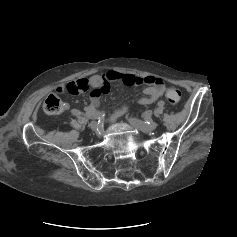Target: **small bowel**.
<instances>
[{
  "label": "small bowel",
  "instance_id": "obj_1",
  "mask_svg": "<svg viewBox=\"0 0 237 237\" xmlns=\"http://www.w3.org/2000/svg\"><path fill=\"white\" fill-rule=\"evenodd\" d=\"M119 81L128 86L145 84V96L139 98L138 103L147 105L157 101L164 93V81L155 76H135L133 74L120 73L117 71H107L101 75H93L89 78H80L67 84L57 87L59 93L80 94L88 92L90 95V104L86 108V113L93 115L100 106V98L107 95L111 90V82ZM64 109L69 108L68 103H64ZM128 107L124 106L117 109L110 118L112 123L124 115L128 111Z\"/></svg>",
  "mask_w": 237,
  "mask_h": 237
}]
</instances>
